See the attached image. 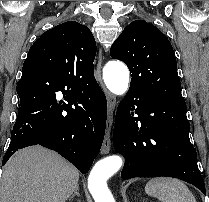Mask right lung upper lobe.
<instances>
[{"label": "right lung upper lobe", "instance_id": "obj_1", "mask_svg": "<svg viewBox=\"0 0 209 202\" xmlns=\"http://www.w3.org/2000/svg\"><path fill=\"white\" fill-rule=\"evenodd\" d=\"M96 42L92 32L78 22H65L43 33L29 49L22 74L45 71L74 89L91 87Z\"/></svg>", "mask_w": 209, "mask_h": 202}]
</instances>
